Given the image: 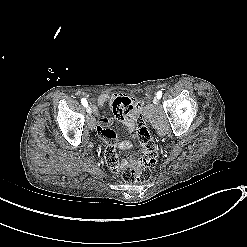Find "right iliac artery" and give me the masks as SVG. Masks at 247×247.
Returning a JSON list of instances; mask_svg holds the SVG:
<instances>
[{"instance_id":"obj_1","label":"right iliac artery","mask_w":247,"mask_h":247,"mask_svg":"<svg viewBox=\"0 0 247 247\" xmlns=\"http://www.w3.org/2000/svg\"><path fill=\"white\" fill-rule=\"evenodd\" d=\"M81 103H82V105H83L84 107H87V106H88V102H87V100H86L85 98H82V99H81Z\"/></svg>"}]
</instances>
